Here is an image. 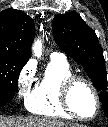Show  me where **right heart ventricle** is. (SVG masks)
I'll return each instance as SVG.
<instances>
[{
  "label": "right heart ventricle",
  "mask_w": 108,
  "mask_h": 127,
  "mask_svg": "<svg viewBox=\"0 0 108 127\" xmlns=\"http://www.w3.org/2000/svg\"><path fill=\"white\" fill-rule=\"evenodd\" d=\"M72 74L73 71L66 60L51 59L27 98L28 110L41 116L72 118L61 101L62 84Z\"/></svg>",
  "instance_id": "obj_1"
}]
</instances>
